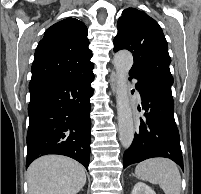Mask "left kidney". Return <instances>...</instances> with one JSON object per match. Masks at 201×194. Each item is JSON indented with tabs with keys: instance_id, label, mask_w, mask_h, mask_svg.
Wrapping results in <instances>:
<instances>
[{
	"instance_id": "5707ae66",
	"label": "left kidney",
	"mask_w": 201,
	"mask_h": 194,
	"mask_svg": "<svg viewBox=\"0 0 201 194\" xmlns=\"http://www.w3.org/2000/svg\"><path fill=\"white\" fill-rule=\"evenodd\" d=\"M132 194H156L153 189L143 182H138L135 184Z\"/></svg>"
}]
</instances>
